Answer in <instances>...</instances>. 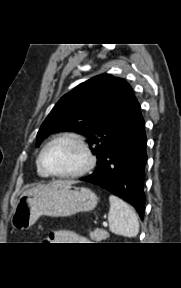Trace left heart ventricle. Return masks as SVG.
I'll list each match as a JSON object with an SVG mask.
<instances>
[{"instance_id": "1", "label": "left heart ventricle", "mask_w": 181, "mask_h": 288, "mask_svg": "<svg viewBox=\"0 0 181 288\" xmlns=\"http://www.w3.org/2000/svg\"><path fill=\"white\" fill-rule=\"evenodd\" d=\"M45 163L55 173H70L78 170L84 163V155L80 147L69 140H61L52 144L46 151Z\"/></svg>"}]
</instances>
